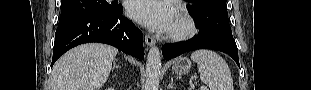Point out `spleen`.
Returning <instances> with one entry per match:
<instances>
[{
	"label": "spleen",
	"instance_id": "obj_1",
	"mask_svg": "<svg viewBox=\"0 0 311 90\" xmlns=\"http://www.w3.org/2000/svg\"><path fill=\"white\" fill-rule=\"evenodd\" d=\"M191 60L198 66L200 80L210 90H233V80L228 64L216 52L197 50Z\"/></svg>",
	"mask_w": 311,
	"mask_h": 90
}]
</instances>
